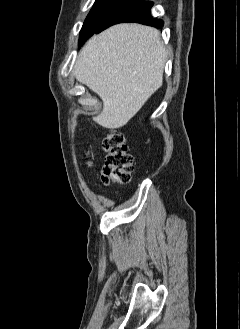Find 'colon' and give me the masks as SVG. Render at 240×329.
I'll return each mask as SVG.
<instances>
[{
	"label": "colon",
	"mask_w": 240,
	"mask_h": 329,
	"mask_svg": "<svg viewBox=\"0 0 240 329\" xmlns=\"http://www.w3.org/2000/svg\"><path fill=\"white\" fill-rule=\"evenodd\" d=\"M107 152L105 167L101 174L104 185L127 184L131 181L133 157L120 131H111L102 143Z\"/></svg>",
	"instance_id": "5ec220e1"
}]
</instances>
